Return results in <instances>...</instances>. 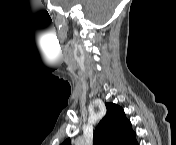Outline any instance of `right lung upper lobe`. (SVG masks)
Here are the masks:
<instances>
[{"mask_svg": "<svg viewBox=\"0 0 176 145\" xmlns=\"http://www.w3.org/2000/svg\"><path fill=\"white\" fill-rule=\"evenodd\" d=\"M105 105L107 113L94 131L93 145H136V134L123 109L114 103ZM62 145H70V139Z\"/></svg>", "mask_w": 176, "mask_h": 145, "instance_id": "obj_1", "label": "right lung upper lobe"}]
</instances>
